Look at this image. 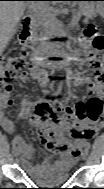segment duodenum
I'll return each instance as SVG.
<instances>
[{
    "instance_id": "obj_1",
    "label": "duodenum",
    "mask_w": 104,
    "mask_h": 189,
    "mask_svg": "<svg viewBox=\"0 0 104 189\" xmlns=\"http://www.w3.org/2000/svg\"><path fill=\"white\" fill-rule=\"evenodd\" d=\"M35 26V20L33 17H26L23 21V28L19 35V44L25 50H30L35 41V34L33 28ZM40 64L35 61V66L38 67Z\"/></svg>"
}]
</instances>
